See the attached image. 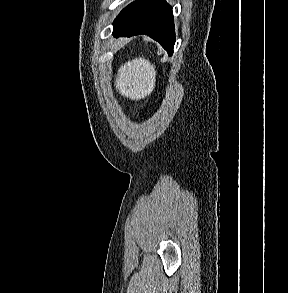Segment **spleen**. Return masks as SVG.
I'll return each instance as SVG.
<instances>
[{
  "instance_id": "obj_1",
  "label": "spleen",
  "mask_w": 288,
  "mask_h": 293,
  "mask_svg": "<svg viewBox=\"0 0 288 293\" xmlns=\"http://www.w3.org/2000/svg\"><path fill=\"white\" fill-rule=\"evenodd\" d=\"M155 66L144 58L126 62L118 70L116 89L121 95L138 100L149 95L155 86Z\"/></svg>"
}]
</instances>
